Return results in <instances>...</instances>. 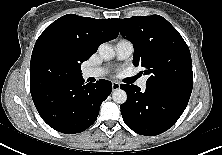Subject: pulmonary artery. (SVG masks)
<instances>
[{"mask_svg": "<svg viewBox=\"0 0 222 155\" xmlns=\"http://www.w3.org/2000/svg\"><path fill=\"white\" fill-rule=\"evenodd\" d=\"M116 50V57L118 60H125L128 59L134 52V46L132 42L129 40L121 39L118 41L115 47ZM105 69L101 67H90L86 68L83 71V76L85 78L89 77H94V78H99L105 74ZM146 81L147 78L143 77L138 81V86L140 88H145L146 87Z\"/></svg>", "mask_w": 222, "mask_h": 155, "instance_id": "pulmonary-artery-1", "label": "pulmonary artery"}]
</instances>
